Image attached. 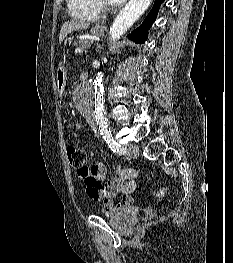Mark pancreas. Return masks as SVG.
Returning a JSON list of instances; mask_svg holds the SVG:
<instances>
[{
	"instance_id": "1",
	"label": "pancreas",
	"mask_w": 233,
	"mask_h": 263,
	"mask_svg": "<svg viewBox=\"0 0 233 263\" xmlns=\"http://www.w3.org/2000/svg\"><path fill=\"white\" fill-rule=\"evenodd\" d=\"M92 42H93V41H92V40H89V39H81V40H79V41H76L74 44H75L78 48L87 49Z\"/></svg>"
}]
</instances>
